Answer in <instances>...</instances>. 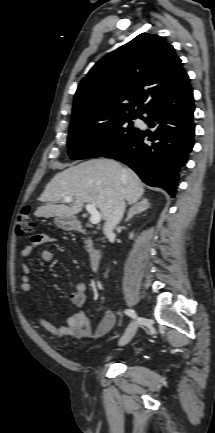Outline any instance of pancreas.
<instances>
[{
	"label": "pancreas",
	"instance_id": "1",
	"mask_svg": "<svg viewBox=\"0 0 215 433\" xmlns=\"http://www.w3.org/2000/svg\"><path fill=\"white\" fill-rule=\"evenodd\" d=\"M86 243H87L88 245H90V242H89V241H86Z\"/></svg>",
	"mask_w": 215,
	"mask_h": 433
}]
</instances>
